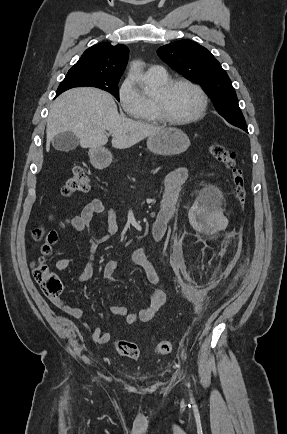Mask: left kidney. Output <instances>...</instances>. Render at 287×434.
I'll use <instances>...</instances> for the list:
<instances>
[{"label":"left kidney","instance_id":"1","mask_svg":"<svg viewBox=\"0 0 287 434\" xmlns=\"http://www.w3.org/2000/svg\"><path fill=\"white\" fill-rule=\"evenodd\" d=\"M199 212H200V207L198 205H194L190 209V211L188 213V218H189V222H190L191 225H193V226H197L198 225V223H197V215L199 214Z\"/></svg>","mask_w":287,"mask_h":434}]
</instances>
